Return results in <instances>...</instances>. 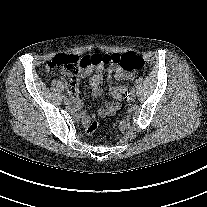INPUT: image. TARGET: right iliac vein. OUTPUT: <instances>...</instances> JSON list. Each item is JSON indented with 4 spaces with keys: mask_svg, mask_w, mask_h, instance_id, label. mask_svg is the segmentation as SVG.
I'll return each instance as SVG.
<instances>
[{
    "mask_svg": "<svg viewBox=\"0 0 207 207\" xmlns=\"http://www.w3.org/2000/svg\"><path fill=\"white\" fill-rule=\"evenodd\" d=\"M65 103H66L67 105H69V104L71 103L70 99H66V100H65Z\"/></svg>",
    "mask_w": 207,
    "mask_h": 207,
    "instance_id": "1",
    "label": "right iliac vein"
}]
</instances>
